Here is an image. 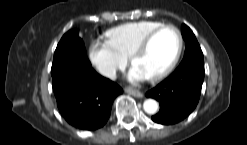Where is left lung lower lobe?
<instances>
[{
	"instance_id": "0a47b994",
	"label": "left lung lower lobe",
	"mask_w": 247,
	"mask_h": 145,
	"mask_svg": "<svg viewBox=\"0 0 247 145\" xmlns=\"http://www.w3.org/2000/svg\"><path fill=\"white\" fill-rule=\"evenodd\" d=\"M203 80V57L183 59L168 78L146 93L159 101L161 107L152 120L167 125L186 118L197 106Z\"/></svg>"
}]
</instances>
